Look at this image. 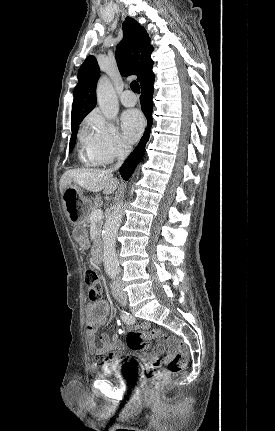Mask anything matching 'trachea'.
I'll return each mask as SVG.
<instances>
[{"label":"trachea","instance_id":"trachea-1","mask_svg":"<svg viewBox=\"0 0 275 431\" xmlns=\"http://www.w3.org/2000/svg\"><path fill=\"white\" fill-rule=\"evenodd\" d=\"M130 87H131L132 91H134L135 93H140V86H139V83L137 81H132L130 83Z\"/></svg>","mask_w":275,"mask_h":431}]
</instances>
